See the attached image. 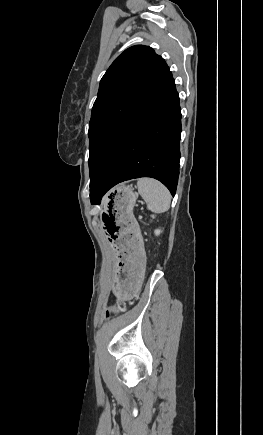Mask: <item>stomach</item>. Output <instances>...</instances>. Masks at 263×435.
<instances>
[{
	"label": "stomach",
	"mask_w": 263,
	"mask_h": 435,
	"mask_svg": "<svg viewBox=\"0 0 263 435\" xmlns=\"http://www.w3.org/2000/svg\"><path fill=\"white\" fill-rule=\"evenodd\" d=\"M136 195L131 186L121 185L104 200V216H101V232L106 233L111 247H116V267L112 279L115 297L121 305L128 299H136L144 288L145 239L140 233L138 216L133 206Z\"/></svg>",
	"instance_id": "0dacf381"
}]
</instances>
